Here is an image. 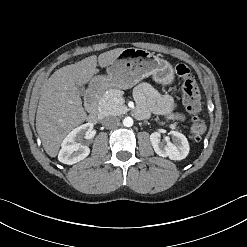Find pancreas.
Instances as JSON below:
<instances>
[{
  "label": "pancreas",
  "instance_id": "pancreas-1",
  "mask_svg": "<svg viewBox=\"0 0 247 247\" xmlns=\"http://www.w3.org/2000/svg\"><path fill=\"white\" fill-rule=\"evenodd\" d=\"M122 97V91L118 89L108 90L99 101V109L105 115H119L126 111V107L122 102L116 99ZM170 128L175 129L176 123L170 125Z\"/></svg>",
  "mask_w": 247,
  "mask_h": 247
}]
</instances>
